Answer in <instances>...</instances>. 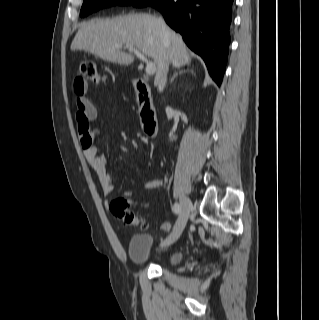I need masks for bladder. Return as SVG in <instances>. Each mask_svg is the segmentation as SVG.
Instances as JSON below:
<instances>
[{"mask_svg":"<svg viewBox=\"0 0 319 320\" xmlns=\"http://www.w3.org/2000/svg\"><path fill=\"white\" fill-rule=\"evenodd\" d=\"M153 236L147 233L133 234L129 241L128 255L130 259L138 264L149 263L152 256ZM182 258L180 252H172L162 258V264L174 265Z\"/></svg>","mask_w":319,"mask_h":320,"instance_id":"obj_1","label":"bladder"}]
</instances>
